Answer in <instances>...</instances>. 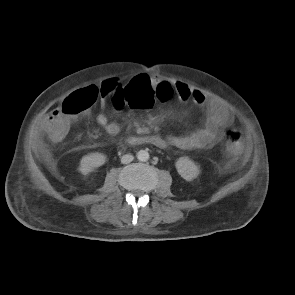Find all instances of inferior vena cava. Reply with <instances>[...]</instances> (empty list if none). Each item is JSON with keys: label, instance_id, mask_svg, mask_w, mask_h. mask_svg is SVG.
Masks as SVG:
<instances>
[{"label": "inferior vena cava", "instance_id": "602c4592", "mask_svg": "<svg viewBox=\"0 0 295 295\" xmlns=\"http://www.w3.org/2000/svg\"><path fill=\"white\" fill-rule=\"evenodd\" d=\"M133 159H134L133 155H131V154H125V155H123L121 157V162L123 164H128V163L132 162Z\"/></svg>", "mask_w": 295, "mask_h": 295}]
</instances>
